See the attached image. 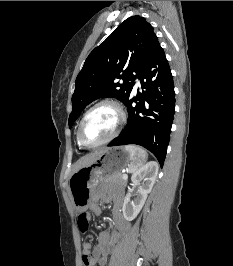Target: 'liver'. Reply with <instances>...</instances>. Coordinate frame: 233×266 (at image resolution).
<instances>
[{
  "label": "liver",
  "instance_id": "liver-1",
  "mask_svg": "<svg viewBox=\"0 0 233 266\" xmlns=\"http://www.w3.org/2000/svg\"><path fill=\"white\" fill-rule=\"evenodd\" d=\"M103 151L104 150L95 151L80 158L74 165L73 173L81 169L82 167L88 166L93 163L103 153Z\"/></svg>",
  "mask_w": 233,
  "mask_h": 266
}]
</instances>
